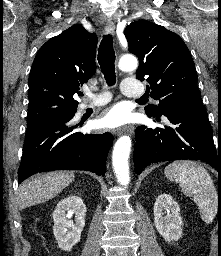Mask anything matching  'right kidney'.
<instances>
[{"instance_id":"ca27d5eb","label":"right kidney","mask_w":221,"mask_h":256,"mask_svg":"<svg viewBox=\"0 0 221 256\" xmlns=\"http://www.w3.org/2000/svg\"><path fill=\"white\" fill-rule=\"evenodd\" d=\"M75 214V222L70 220ZM86 206L77 195L62 199L53 212V233L58 246L64 251H71L81 239V232L85 226Z\"/></svg>"}]
</instances>
